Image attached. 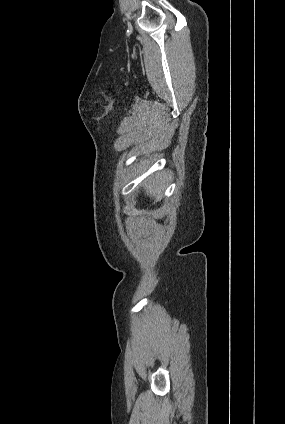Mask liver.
<instances>
[{
  "label": "liver",
  "instance_id": "liver-1",
  "mask_svg": "<svg viewBox=\"0 0 285 424\" xmlns=\"http://www.w3.org/2000/svg\"><path fill=\"white\" fill-rule=\"evenodd\" d=\"M146 193L150 197H155L156 199L160 198L162 191L160 189V186L158 185V178L157 177L150 180V185L147 188Z\"/></svg>",
  "mask_w": 285,
  "mask_h": 424
}]
</instances>
